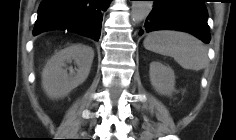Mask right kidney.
<instances>
[{
  "label": "right kidney",
  "instance_id": "right-kidney-1",
  "mask_svg": "<svg viewBox=\"0 0 236 140\" xmlns=\"http://www.w3.org/2000/svg\"><path fill=\"white\" fill-rule=\"evenodd\" d=\"M94 58L92 48L73 44L57 52L42 73V87L47 96L57 99L66 96L87 79ZM75 64V68L67 64ZM69 70V73H68Z\"/></svg>",
  "mask_w": 236,
  "mask_h": 140
}]
</instances>
